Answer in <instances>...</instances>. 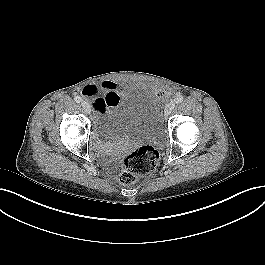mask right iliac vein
Wrapping results in <instances>:
<instances>
[{
    "label": "right iliac vein",
    "mask_w": 265,
    "mask_h": 265,
    "mask_svg": "<svg viewBox=\"0 0 265 265\" xmlns=\"http://www.w3.org/2000/svg\"><path fill=\"white\" fill-rule=\"evenodd\" d=\"M82 107L84 108V110H85V112L87 114H90L91 113V106H90V104L88 102L83 101L82 102Z\"/></svg>",
    "instance_id": "63e3f726"
}]
</instances>
